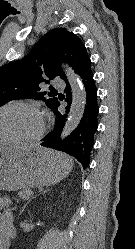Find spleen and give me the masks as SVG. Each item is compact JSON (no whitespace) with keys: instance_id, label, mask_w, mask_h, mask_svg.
<instances>
[{"instance_id":"spleen-1","label":"spleen","mask_w":135,"mask_h":249,"mask_svg":"<svg viewBox=\"0 0 135 249\" xmlns=\"http://www.w3.org/2000/svg\"><path fill=\"white\" fill-rule=\"evenodd\" d=\"M57 157L60 159V161H62L63 163L67 162V161H72L71 158H69L67 155H64V154H60V153H57Z\"/></svg>"}]
</instances>
